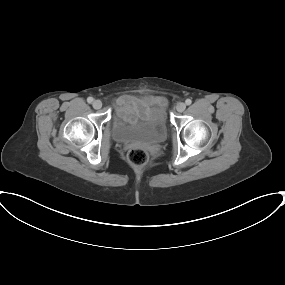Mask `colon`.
<instances>
[{
	"label": "colon",
	"instance_id": "1",
	"mask_svg": "<svg viewBox=\"0 0 285 285\" xmlns=\"http://www.w3.org/2000/svg\"><path fill=\"white\" fill-rule=\"evenodd\" d=\"M129 163L135 167H142L148 162V153L142 148H132L127 154Z\"/></svg>",
	"mask_w": 285,
	"mask_h": 285
}]
</instances>
